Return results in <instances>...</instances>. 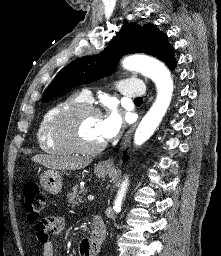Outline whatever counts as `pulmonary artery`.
<instances>
[{
    "mask_svg": "<svg viewBox=\"0 0 221 256\" xmlns=\"http://www.w3.org/2000/svg\"><path fill=\"white\" fill-rule=\"evenodd\" d=\"M119 91L122 95L127 97H139L144 94L145 87L142 81L137 79H125L119 84ZM83 97L86 101H91V93L88 90H83Z\"/></svg>",
    "mask_w": 221,
    "mask_h": 256,
    "instance_id": "obj_1",
    "label": "pulmonary artery"
}]
</instances>
